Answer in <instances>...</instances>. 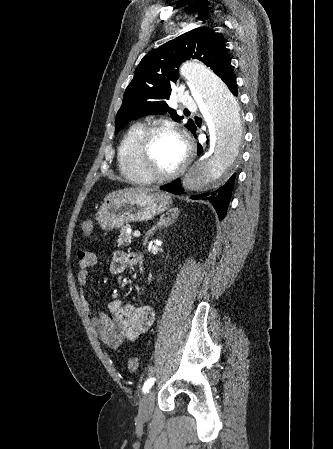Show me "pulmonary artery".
<instances>
[{"instance_id": "1", "label": "pulmonary artery", "mask_w": 333, "mask_h": 449, "mask_svg": "<svg viewBox=\"0 0 333 449\" xmlns=\"http://www.w3.org/2000/svg\"><path fill=\"white\" fill-rule=\"evenodd\" d=\"M182 105L188 109H195L196 102L195 100L188 94H183L181 97Z\"/></svg>"}]
</instances>
